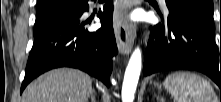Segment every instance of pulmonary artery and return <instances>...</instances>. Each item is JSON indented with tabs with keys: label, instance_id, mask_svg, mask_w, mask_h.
Returning <instances> with one entry per match:
<instances>
[{
	"label": "pulmonary artery",
	"instance_id": "obj_1",
	"mask_svg": "<svg viewBox=\"0 0 221 102\" xmlns=\"http://www.w3.org/2000/svg\"><path fill=\"white\" fill-rule=\"evenodd\" d=\"M160 4L162 5V7L166 8V2L165 0H159Z\"/></svg>",
	"mask_w": 221,
	"mask_h": 102
}]
</instances>
